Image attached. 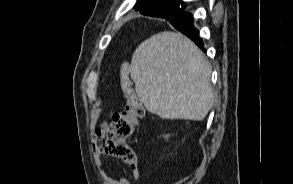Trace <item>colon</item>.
Here are the masks:
<instances>
[{"mask_svg": "<svg viewBox=\"0 0 293 184\" xmlns=\"http://www.w3.org/2000/svg\"><path fill=\"white\" fill-rule=\"evenodd\" d=\"M129 70L128 63L121 65L120 83L126 103L121 111L112 116L102 150L108 156L120 158L132 164L136 161V157L126 139L133 134L139 120L144 116V107L131 87Z\"/></svg>", "mask_w": 293, "mask_h": 184, "instance_id": "1", "label": "colon"}]
</instances>
